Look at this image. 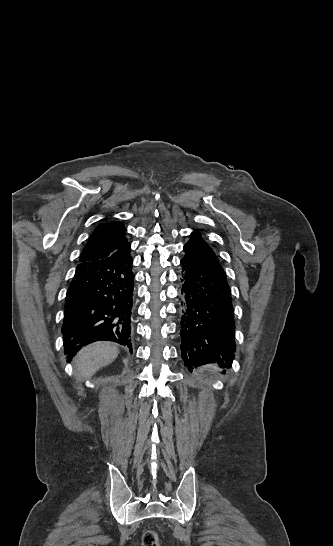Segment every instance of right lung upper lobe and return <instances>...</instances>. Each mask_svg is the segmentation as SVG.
Listing matches in <instances>:
<instances>
[{
	"label": "right lung upper lobe",
	"mask_w": 333,
	"mask_h": 546,
	"mask_svg": "<svg viewBox=\"0 0 333 546\" xmlns=\"http://www.w3.org/2000/svg\"><path fill=\"white\" fill-rule=\"evenodd\" d=\"M126 229L120 222L103 223L96 227L84 247L79 261L103 259L128 244Z\"/></svg>",
	"instance_id": "1"
}]
</instances>
